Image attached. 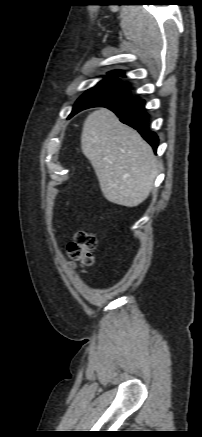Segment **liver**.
Listing matches in <instances>:
<instances>
[{"instance_id":"obj_1","label":"liver","mask_w":202,"mask_h":437,"mask_svg":"<svg viewBox=\"0 0 202 437\" xmlns=\"http://www.w3.org/2000/svg\"><path fill=\"white\" fill-rule=\"evenodd\" d=\"M81 149L108 201L135 207L147 199L158 174L157 159L140 134L112 111L100 108L88 115Z\"/></svg>"}]
</instances>
